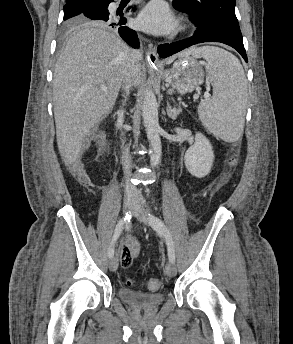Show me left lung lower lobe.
<instances>
[{"label": "left lung lower lobe", "instance_id": "0a47b994", "mask_svg": "<svg viewBox=\"0 0 293 344\" xmlns=\"http://www.w3.org/2000/svg\"><path fill=\"white\" fill-rule=\"evenodd\" d=\"M197 30L188 39L158 46V53L161 58L169 57L187 47L204 42H220L236 49L247 62V55L243 45V40L215 27H200L193 19L191 20Z\"/></svg>", "mask_w": 293, "mask_h": 344}]
</instances>
